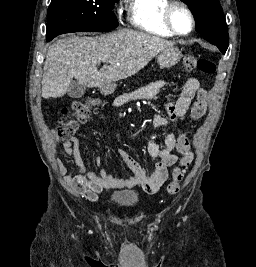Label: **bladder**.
Returning <instances> with one entry per match:
<instances>
[{
  "label": "bladder",
  "mask_w": 256,
  "mask_h": 267,
  "mask_svg": "<svg viewBox=\"0 0 256 267\" xmlns=\"http://www.w3.org/2000/svg\"><path fill=\"white\" fill-rule=\"evenodd\" d=\"M111 203L121 207L134 205L138 201L137 191L115 192L110 196Z\"/></svg>",
  "instance_id": "obj_1"
}]
</instances>
